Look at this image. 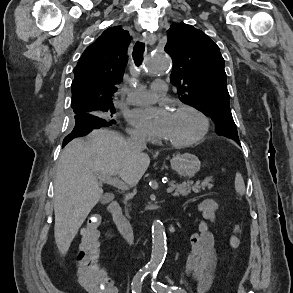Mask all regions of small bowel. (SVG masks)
<instances>
[{
  "mask_svg": "<svg viewBox=\"0 0 293 293\" xmlns=\"http://www.w3.org/2000/svg\"><path fill=\"white\" fill-rule=\"evenodd\" d=\"M198 210L201 212L202 220L198 225V231L190 237L191 252L187 257L185 270L197 280V293H206L213 282L216 266L215 238L211 227L215 221L217 203L212 198H206L199 203ZM110 281L113 285L111 279ZM113 287L117 293L116 287Z\"/></svg>",
  "mask_w": 293,
  "mask_h": 293,
  "instance_id": "1",
  "label": "small bowel"
}]
</instances>
